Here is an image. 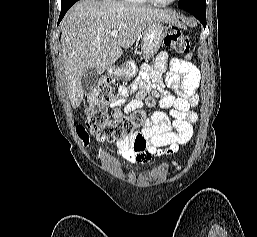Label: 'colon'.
Listing matches in <instances>:
<instances>
[{"instance_id":"1","label":"colon","mask_w":257,"mask_h":237,"mask_svg":"<svg viewBox=\"0 0 257 237\" xmlns=\"http://www.w3.org/2000/svg\"><path fill=\"white\" fill-rule=\"evenodd\" d=\"M165 45L178 54L190 56L189 36L181 30L172 28L165 38ZM115 83L109 77H102L96 83L88 96L89 106L86 109L85 125L76 126V134L79 139L87 144L90 130L100 141H121L131 136L142 124L144 115L140 112L130 117H122L112 120L108 113V106L114 99ZM157 93L155 90L147 98V104L153 105Z\"/></svg>"}]
</instances>
